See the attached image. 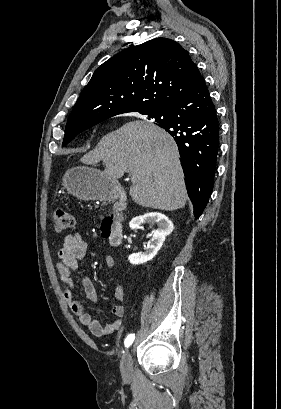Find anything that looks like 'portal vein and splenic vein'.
<instances>
[{
	"label": "portal vein and splenic vein",
	"mask_w": 281,
	"mask_h": 409,
	"mask_svg": "<svg viewBox=\"0 0 281 409\" xmlns=\"http://www.w3.org/2000/svg\"><path fill=\"white\" fill-rule=\"evenodd\" d=\"M129 181L132 183L134 180L131 178Z\"/></svg>",
	"instance_id": "1"
}]
</instances>
